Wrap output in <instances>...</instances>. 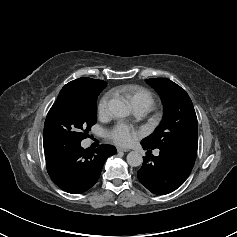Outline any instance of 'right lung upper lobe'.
I'll return each instance as SVG.
<instances>
[{
	"instance_id": "right-lung-upper-lobe-1",
	"label": "right lung upper lobe",
	"mask_w": 237,
	"mask_h": 237,
	"mask_svg": "<svg viewBox=\"0 0 237 237\" xmlns=\"http://www.w3.org/2000/svg\"><path fill=\"white\" fill-rule=\"evenodd\" d=\"M76 83H80L84 86L90 87V88H99L104 87L106 85V82L102 80L92 79V78H79L74 80Z\"/></svg>"
}]
</instances>
